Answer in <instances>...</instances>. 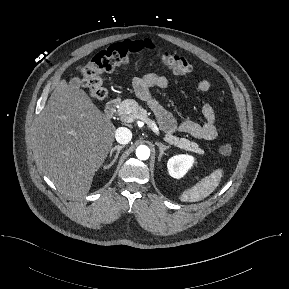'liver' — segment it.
Wrapping results in <instances>:
<instances>
[{
    "instance_id": "obj_1",
    "label": "liver",
    "mask_w": 289,
    "mask_h": 289,
    "mask_svg": "<svg viewBox=\"0 0 289 289\" xmlns=\"http://www.w3.org/2000/svg\"><path fill=\"white\" fill-rule=\"evenodd\" d=\"M115 131L84 90L61 80L39 116L36 162L61 193L80 198L111 150Z\"/></svg>"
}]
</instances>
